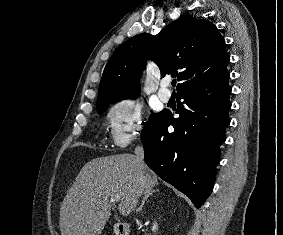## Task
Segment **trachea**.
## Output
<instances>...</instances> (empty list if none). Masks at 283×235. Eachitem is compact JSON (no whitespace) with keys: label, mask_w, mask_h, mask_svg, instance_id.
I'll list each match as a JSON object with an SVG mask.
<instances>
[{"label":"trachea","mask_w":283,"mask_h":235,"mask_svg":"<svg viewBox=\"0 0 283 235\" xmlns=\"http://www.w3.org/2000/svg\"><path fill=\"white\" fill-rule=\"evenodd\" d=\"M176 85V80H173L172 81V86H175Z\"/></svg>","instance_id":"obj_1"}]
</instances>
